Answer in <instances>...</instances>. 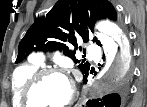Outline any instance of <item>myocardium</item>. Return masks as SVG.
Listing matches in <instances>:
<instances>
[{
  "label": "myocardium",
  "instance_id": "f54148a6",
  "mask_svg": "<svg viewBox=\"0 0 147 107\" xmlns=\"http://www.w3.org/2000/svg\"><path fill=\"white\" fill-rule=\"evenodd\" d=\"M51 76H59L66 79L70 83L71 87L69 98L65 103L58 107H68L74 102L76 97V88L74 82L63 72V70L57 67H45L38 70L27 82L22 93V103L24 107H35L31 101L32 92L42 81Z\"/></svg>",
  "mask_w": 147,
  "mask_h": 107
}]
</instances>
